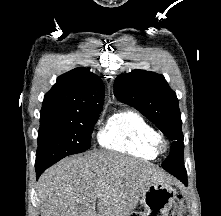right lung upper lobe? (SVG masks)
Listing matches in <instances>:
<instances>
[{
  "label": "right lung upper lobe",
  "mask_w": 221,
  "mask_h": 216,
  "mask_svg": "<svg viewBox=\"0 0 221 216\" xmlns=\"http://www.w3.org/2000/svg\"><path fill=\"white\" fill-rule=\"evenodd\" d=\"M104 94V84L98 76L82 67L71 70L58 77L44 96L40 124L101 112Z\"/></svg>",
  "instance_id": "obj_1"
}]
</instances>
